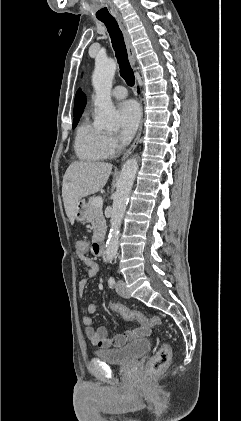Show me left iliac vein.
Wrapping results in <instances>:
<instances>
[{"mask_svg": "<svg viewBox=\"0 0 241 421\" xmlns=\"http://www.w3.org/2000/svg\"><path fill=\"white\" fill-rule=\"evenodd\" d=\"M116 291L117 293L124 297V298H130V294L126 288V284L123 280H119L116 284Z\"/></svg>", "mask_w": 241, "mask_h": 421, "instance_id": "1", "label": "left iliac vein"}]
</instances>
